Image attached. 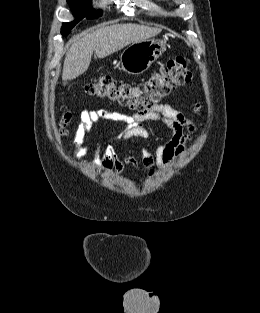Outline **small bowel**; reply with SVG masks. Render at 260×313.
I'll return each instance as SVG.
<instances>
[{"label": "small bowel", "instance_id": "c3829d8e", "mask_svg": "<svg viewBox=\"0 0 260 313\" xmlns=\"http://www.w3.org/2000/svg\"><path fill=\"white\" fill-rule=\"evenodd\" d=\"M195 111H199L198 104L195 106ZM103 119L125 123L123 128L112 134V140L151 139L150 130L143 125L144 122L149 121L163 123L171 130V136L167 141L155 143L152 149L143 148L142 150L141 162L150 176L155 175L159 168L169 166L175 158L181 156L191 140V135L196 131L192 120L168 104H157L148 111L137 112L133 115L102 109L82 110L73 138L74 155L81 165L101 174L115 171L121 175L125 163L134 171L138 170L137 159L131 155L122 156L112 144L99 148L92 161L85 159L90 133L95 126L101 124Z\"/></svg>", "mask_w": 260, "mask_h": 313}]
</instances>
